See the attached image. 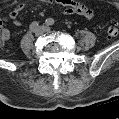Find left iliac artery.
<instances>
[{
	"instance_id": "44dca946",
	"label": "left iliac artery",
	"mask_w": 119,
	"mask_h": 119,
	"mask_svg": "<svg viewBox=\"0 0 119 119\" xmlns=\"http://www.w3.org/2000/svg\"><path fill=\"white\" fill-rule=\"evenodd\" d=\"M45 23H46V25H48V26L53 25V24H54V19L48 18V19H46Z\"/></svg>"
}]
</instances>
